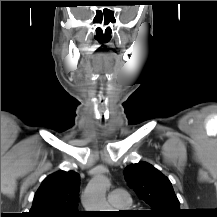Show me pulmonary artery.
Returning <instances> with one entry per match:
<instances>
[{
    "label": "pulmonary artery",
    "instance_id": "pulmonary-artery-1",
    "mask_svg": "<svg viewBox=\"0 0 217 217\" xmlns=\"http://www.w3.org/2000/svg\"><path fill=\"white\" fill-rule=\"evenodd\" d=\"M108 202L116 209H126L131 204V198L125 189L118 188L109 193Z\"/></svg>",
    "mask_w": 217,
    "mask_h": 217
}]
</instances>
